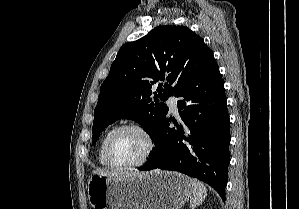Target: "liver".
I'll use <instances>...</instances> for the list:
<instances>
[{"label":"liver","mask_w":299,"mask_h":209,"mask_svg":"<svg viewBox=\"0 0 299 209\" xmlns=\"http://www.w3.org/2000/svg\"><path fill=\"white\" fill-rule=\"evenodd\" d=\"M95 174H101L104 176H108V177H114V178H128V177H139V176H143L146 173L144 172H139V171H133V170H127V171H122V172H109V171H103V170H95L94 171Z\"/></svg>","instance_id":"liver-1"}]
</instances>
